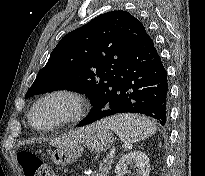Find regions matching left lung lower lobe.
<instances>
[{"label":"left lung lower lobe","instance_id":"left-lung-lower-lobe-1","mask_svg":"<svg viewBox=\"0 0 205 176\" xmlns=\"http://www.w3.org/2000/svg\"><path fill=\"white\" fill-rule=\"evenodd\" d=\"M120 113L145 114L162 126L167 123V72L147 32L122 64L116 80L78 126Z\"/></svg>","mask_w":205,"mask_h":176}]
</instances>
